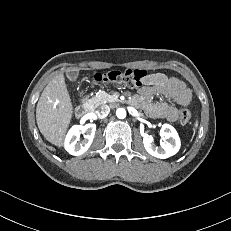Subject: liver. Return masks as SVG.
<instances>
[{
  "instance_id": "1",
  "label": "liver",
  "mask_w": 231,
  "mask_h": 231,
  "mask_svg": "<svg viewBox=\"0 0 231 231\" xmlns=\"http://www.w3.org/2000/svg\"><path fill=\"white\" fill-rule=\"evenodd\" d=\"M73 116V104L62 73L44 88L36 107V121L44 138L62 147Z\"/></svg>"
}]
</instances>
